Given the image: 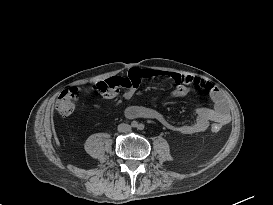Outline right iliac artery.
<instances>
[{
	"label": "right iliac artery",
	"mask_w": 273,
	"mask_h": 205,
	"mask_svg": "<svg viewBox=\"0 0 273 205\" xmlns=\"http://www.w3.org/2000/svg\"><path fill=\"white\" fill-rule=\"evenodd\" d=\"M132 126H133V127H136V126H137V124H136V123H133V124H132Z\"/></svg>",
	"instance_id": "right-iliac-artery-1"
}]
</instances>
